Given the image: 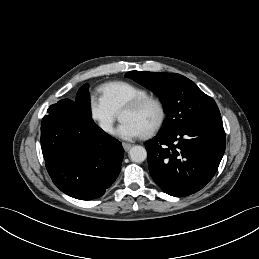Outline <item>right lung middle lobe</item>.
Masks as SVG:
<instances>
[{
  "instance_id": "1",
  "label": "right lung middle lobe",
  "mask_w": 259,
  "mask_h": 259,
  "mask_svg": "<svg viewBox=\"0 0 259 259\" xmlns=\"http://www.w3.org/2000/svg\"><path fill=\"white\" fill-rule=\"evenodd\" d=\"M74 103L85 117L91 118L88 84L79 89Z\"/></svg>"
}]
</instances>
